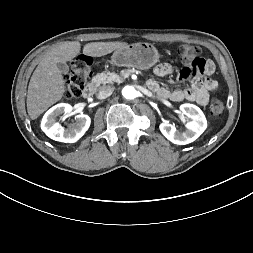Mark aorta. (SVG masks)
Returning <instances> with one entry per match:
<instances>
[{"label": "aorta", "instance_id": "obj_1", "mask_svg": "<svg viewBox=\"0 0 253 253\" xmlns=\"http://www.w3.org/2000/svg\"><path fill=\"white\" fill-rule=\"evenodd\" d=\"M122 95L126 99H134L137 96V91L132 86H125L122 90Z\"/></svg>", "mask_w": 253, "mask_h": 253}]
</instances>
